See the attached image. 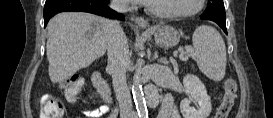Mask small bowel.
<instances>
[{"label":"small bowel","instance_id":"small-bowel-1","mask_svg":"<svg viewBox=\"0 0 273 118\" xmlns=\"http://www.w3.org/2000/svg\"><path fill=\"white\" fill-rule=\"evenodd\" d=\"M107 109L105 107H99L93 110L86 111L85 114L89 117H99L102 114L106 113ZM159 118H179V113L174 106L173 97L170 94H166L159 114Z\"/></svg>","mask_w":273,"mask_h":118}]
</instances>
